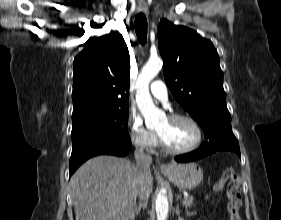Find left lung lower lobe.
I'll return each mask as SVG.
<instances>
[{
	"label": "left lung lower lobe",
	"mask_w": 281,
	"mask_h": 220,
	"mask_svg": "<svg viewBox=\"0 0 281 220\" xmlns=\"http://www.w3.org/2000/svg\"><path fill=\"white\" fill-rule=\"evenodd\" d=\"M223 150L235 152L240 157L239 144L213 145L211 143H204L198 150L188 154L177 156L175 157V160L177 162L195 161L204 158L216 151H223Z\"/></svg>",
	"instance_id": "obj_1"
}]
</instances>
